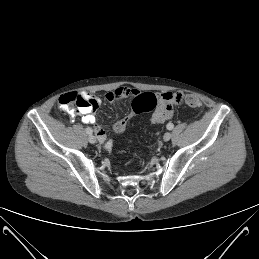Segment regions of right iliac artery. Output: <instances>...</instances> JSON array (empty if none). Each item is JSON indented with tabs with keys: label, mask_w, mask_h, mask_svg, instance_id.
<instances>
[{
	"label": "right iliac artery",
	"mask_w": 259,
	"mask_h": 259,
	"mask_svg": "<svg viewBox=\"0 0 259 259\" xmlns=\"http://www.w3.org/2000/svg\"><path fill=\"white\" fill-rule=\"evenodd\" d=\"M86 133H87V134H92V129H91L90 127H87V128H86Z\"/></svg>",
	"instance_id": "right-iliac-artery-1"
}]
</instances>
